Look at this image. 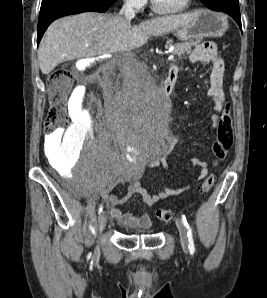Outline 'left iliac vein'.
Segmentation results:
<instances>
[{"mask_svg": "<svg viewBox=\"0 0 267 298\" xmlns=\"http://www.w3.org/2000/svg\"><path fill=\"white\" fill-rule=\"evenodd\" d=\"M176 226H177L178 231H179L181 246H182L183 250L185 252H187L188 251L189 241H188L185 225H184V223L181 219L177 218L176 219Z\"/></svg>", "mask_w": 267, "mask_h": 298, "instance_id": "4c4485c4", "label": "left iliac vein"}]
</instances>
